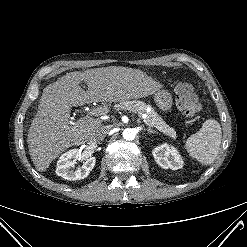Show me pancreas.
Returning <instances> with one entry per match:
<instances>
[{
    "label": "pancreas",
    "instance_id": "pancreas-1",
    "mask_svg": "<svg viewBox=\"0 0 247 247\" xmlns=\"http://www.w3.org/2000/svg\"><path fill=\"white\" fill-rule=\"evenodd\" d=\"M148 107L149 105L143 101H123L118 104V108L137 112L140 116L146 112ZM143 121L147 126L157 129L172 139H176V131L167 125L163 121L162 117L159 116L153 109L146 114V118H144Z\"/></svg>",
    "mask_w": 247,
    "mask_h": 247
}]
</instances>
